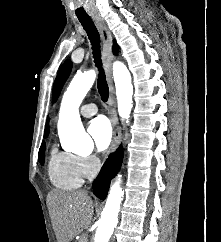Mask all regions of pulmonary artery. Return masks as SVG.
I'll return each mask as SVG.
<instances>
[{"label": "pulmonary artery", "mask_w": 221, "mask_h": 242, "mask_svg": "<svg viewBox=\"0 0 221 242\" xmlns=\"http://www.w3.org/2000/svg\"><path fill=\"white\" fill-rule=\"evenodd\" d=\"M80 113L84 117H91L97 113V107L93 103L85 104L81 107Z\"/></svg>", "instance_id": "e3ab8cb5"}]
</instances>
